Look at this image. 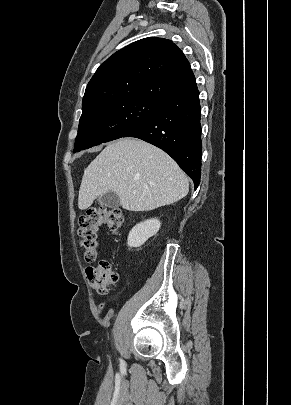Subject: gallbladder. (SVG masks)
Returning <instances> with one entry per match:
<instances>
[{
  "label": "gallbladder",
  "mask_w": 291,
  "mask_h": 405,
  "mask_svg": "<svg viewBox=\"0 0 291 405\" xmlns=\"http://www.w3.org/2000/svg\"><path fill=\"white\" fill-rule=\"evenodd\" d=\"M98 202L101 206L106 208H118L120 206V199L114 192H107L98 197Z\"/></svg>",
  "instance_id": "bac80fb5"
}]
</instances>
